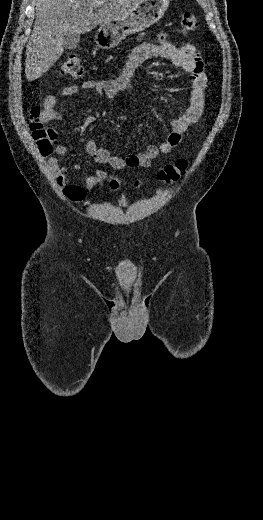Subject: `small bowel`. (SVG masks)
<instances>
[{
	"instance_id": "1",
	"label": "small bowel",
	"mask_w": 263,
	"mask_h": 520,
	"mask_svg": "<svg viewBox=\"0 0 263 520\" xmlns=\"http://www.w3.org/2000/svg\"><path fill=\"white\" fill-rule=\"evenodd\" d=\"M165 58L175 66L188 73L191 84L190 101L185 112L172 120L171 131L159 145H150L145 151L126 157L111 155L110 151L100 148L94 139H87L84 147L95 161L107 164L114 169L126 167H150L153 160L159 155L169 154L173 148L181 142L183 133L194 125L201 117L205 103V90L207 88V76L204 72V63L197 54L195 47L190 43L176 44L168 40L163 33L155 40L136 46L129 54L120 74L115 79L86 80L80 85H69L61 89L59 95H49L44 100L42 118L45 122L61 120L62 114L57 110L59 96H75L81 90H94L98 94H117L131 90V78L135 70L148 60ZM58 155L66 153V147L60 145L56 148ZM47 166L52 172L63 194L73 202L82 201L86 191L94 188L105 179L103 170H96L93 174L85 176L78 181L67 174V167L60 162L58 157L52 156L47 161ZM79 166H76L78 168Z\"/></svg>"
}]
</instances>
